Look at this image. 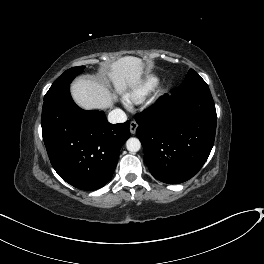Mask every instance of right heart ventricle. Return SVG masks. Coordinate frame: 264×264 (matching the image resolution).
<instances>
[{"instance_id": "right-heart-ventricle-1", "label": "right heart ventricle", "mask_w": 264, "mask_h": 264, "mask_svg": "<svg viewBox=\"0 0 264 264\" xmlns=\"http://www.w3.org/2000/svg\"><path fill=\"white\" fill-rule=\"evenodd\" d=\"M159 84V78L154 75L143 77L129 92L125 101L129 104L138 103L153 92Z\"/></svg>"}]
</instances>
